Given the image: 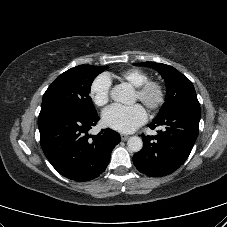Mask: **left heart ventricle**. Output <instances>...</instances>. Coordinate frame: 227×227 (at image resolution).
<instances>
[{
  "label": "left heart ventricle",
  "instance_id": "1",
  "mask_svg": "<svg viewBox=\"0 0 227 227\" xmlns=\"http://www.w3.org/2000/svg\"><path fill=\"white\" fill-rule=\"evenodd\" d=\"M135 98L139 100V98H138V95H137V94H135Z\"/></svg>",
  "mask_w": 227,
  "mask_h": 227
}]
</instances>
